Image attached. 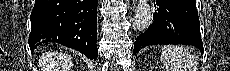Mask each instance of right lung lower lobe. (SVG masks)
Listing matches in <instances>:
<instances>
[{
	"label": "right lung lower lobe",
	"instance_id": "right-lung-lower-lobe-1",
	"mask_svg": "<svg viewBox=\"0 0 230 71\" xmlns=\"http://www.w3.org/2000/svg\"><path fill=\"white\" fill-rule=\"evenodd\" d=\"M98 0H36L31 13V52L59 43L96 60Z\"/></svg>",
	"mask_w": 230,
	"mask_h": 71
}]
</instances>
